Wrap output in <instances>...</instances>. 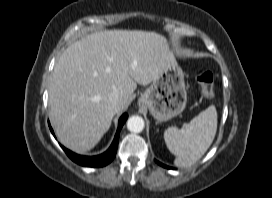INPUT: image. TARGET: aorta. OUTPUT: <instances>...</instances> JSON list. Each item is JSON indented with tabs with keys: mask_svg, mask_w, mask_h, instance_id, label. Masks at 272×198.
<instances>
[{
	"mask_svg": "<svg viewBox=\"0 0 272 198\" xmlns=\"http://www.w3.org/2000/svg\"><path fill=\"white\" fill-rule=\"evenodd\" d=\"M127 128L130 132L140 133L144 129V120L140 116H132L127 121Z\"/></svg>",
	"mask_w": 272,
	"mask_h": 198,
	"instance_id": "obj_1",
	"label": "aorta"
}]
</instances>
